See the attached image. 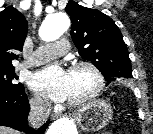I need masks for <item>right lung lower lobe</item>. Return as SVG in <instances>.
I'll return each instance as SVG.
<instances>
[{
  "label": "right lung lower lobe",
  "mask_w": 153,
  "mask_h": 134,
  "mask_svg": "<svg viewBox=\"0 0 153 134\" xmlns=\"http://www.w3.org/2000/svg\"><path fill=\"white\" fill-rule=\"evenodd\" d=\"M28 114L29 103L24 88L17 91L0 89V126L24 130L30 134H43L48 122L37 131H34L27 126Z\"/></svg>",
  "instance_id": "right-lung-lower-lobe-1"
}]
</instances>
